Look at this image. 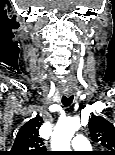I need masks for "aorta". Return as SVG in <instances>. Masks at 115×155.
Returning <instances> with one entry per match:
<instances>
[{
	"label": "aorta",
	"instance_id": "1",
	"mask_svg": "<svg viewBox=\"0 0 115 155\" xmlns=\"http://www.w3.org/2000/svg\"><path fill=\"white\" fill-rule=\"evenodd\" d=\"M79 128V117H70L59 121L54 129L51 148L54 151H70V141Z\"/></svg>",
	"mask_w": 115,
	"mask_h": 155
}]
</instances>
